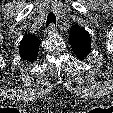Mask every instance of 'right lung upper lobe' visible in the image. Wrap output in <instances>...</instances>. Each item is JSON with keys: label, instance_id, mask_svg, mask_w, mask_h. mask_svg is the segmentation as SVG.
Listing matches in <instances>:
<instances>
[{"label": "right lung upper lobe", "instance_id": "right-lung-upper-lobe-1", "mask_svg": "<svg viewBox=\"0 0 113 113\" xmlns=\"http://www.w3.org/2000/svg\"><path fill=\"white\" fill-rule=\"evenodd\" d=\"M40 40L33 35H26L23 37L19 45V54L21 59L33 62L39 51Z\"/></svg>", "mask_w": 113, "mask_h": 113}]
</instances>
